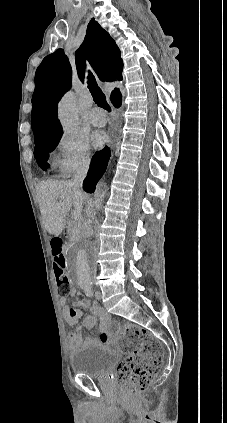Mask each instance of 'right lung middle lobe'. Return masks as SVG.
I'll use <instances>...</instances> for the list:
<instances>
[{
  "instance_id": "1",
  "label": "right lung middle lobe",
  "mask_w": 227,
  "mask_h": 423,
  "mask_svg": "<svg viewBox=\"0 0 227 423\" xmlns=\"http://www.w3.org/2000/svg\"><path fill=\"white\" fill-rule=\"evenodd\" d=\"M60 138L61 134L34 139V157L42 169L49 167L47 163L49 152L53 151L58 145Z\"/></svg>"
}]
</instances>
